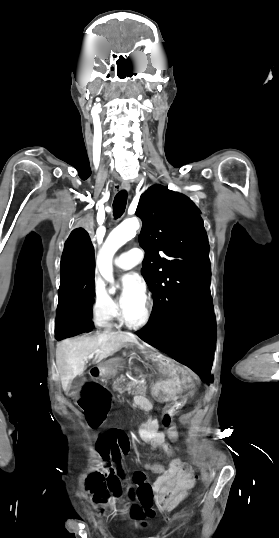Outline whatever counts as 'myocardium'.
<instances>
[{
  "instance_id": "f54148a6",
  "label": "myocardium",
  "mask_w": 279,
  "mask_h": 538,
  "mask_svg": "<svg viewBox=\"0 0 279 538\" xmlns=\"http://www.w3.org/2000/svg\"><path fill=\"white\" fill-rule=\"evenodd\" d=\"M103 220L102 216H98V223L101 224ZM142 230V224H137V222L134 225L133 233L130 234V236H134L137 233H139ZM144 300V311L140 318L136 320L129 319L125 316L123 310H121V321L122 323L127 326L131 330H140L147 326V324L150 322V319L152 317V310L153 305L151 302V298L148 296L143 297Z\"/></svg>"
}]
</instances>
